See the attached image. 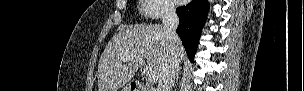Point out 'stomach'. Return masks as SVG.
<instances>
[{
  "label": "stomach",
  "instance_id": "obj_1",
  "mask_svg": "<svg viewBox=\"0 0 304 91\" xmlns=\"http://www.w3.org/2000/svg\"><path fill=\"white\" fill-rule=\"evenodd\" d=\"M123 91H129V88L126 87V88L123 89Z\"/></svg>",
  "mask_w": 304,
  "mask_h": 91
}]
</instances>
